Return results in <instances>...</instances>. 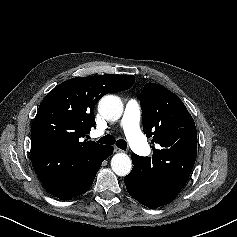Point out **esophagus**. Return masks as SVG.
Segmentation results:
<instances>
[{
  "mask_svg": "<svg viewBox=\"0 0 237 237\" xmlns=\"http://www.w3.org/2000/svg\"><path fill=\"white\" fill-rule=\"evenodd\" d=\"M115 152H125V151H123L122 149L116 147Z\"/></svg>",
  "mask_w": 237,
  "mask_h": 237,
  "instance_id": "1",
  "label": "esophagus"
}]
</instances>
